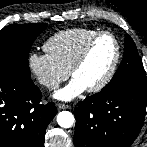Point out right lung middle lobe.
Listing matches in <instances>:
<instances>
[{"instance_id": "obj_1", "label": "right lung middle lobe", "mask_w": 147, "mask_h": 147, "mask_svg": "<svg viewBox=\"0 0 147 147\" xmlns=\"http://www.w3.org/2000/svg\"><path fill=\"white\" fill-rule=\"evenodd\" d=\"M45 23L13 24L0 31V73L20 80H31L28 54L37 36L47 27Z\"/></svg>"}]
</instances>
